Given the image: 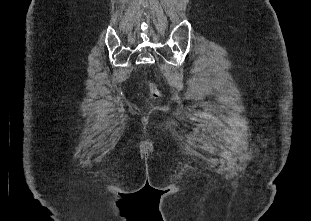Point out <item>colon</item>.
Here are the masks:
<instances>
[{
    "instance_id": "colon-1",
    "label": "colon",
    "mask_w": 311,
    "mask_h": 221,
    "mask_svg": "<svg viewBox=\"0 0 311 221\" xmlns=\"http://www.w3.org/2000/svg\"><path fill=\"white\" fill-rule=\"evenodd\" d=\"M159 93L158 92H155V95H158Z\"/></svg>"
}]
</instances>
